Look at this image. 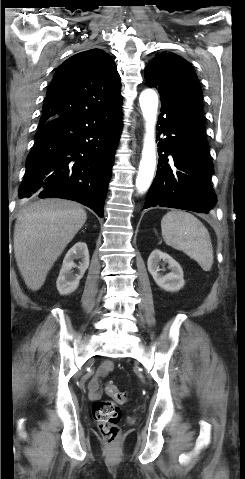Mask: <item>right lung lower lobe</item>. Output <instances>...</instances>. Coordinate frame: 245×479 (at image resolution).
I'll use <instances>...</instances> for the list:
<instances>
[{
	"label": "right lung lower lobe",
	"instance_id": "obj_1",
	"mask_svg": "<svg viewBox=\"0 0 245 479\" xmlns=\"http://www.w3.org/2000/svg\"><path fill=\"white\" fill-rule=\"evenodd\" d=\"M121 128V106L62 116L40 126L19 197L74 200L102 218Z\"/></svg>",
	"mask_w": 245,
	"mask_h": 479
}]
</instances>
